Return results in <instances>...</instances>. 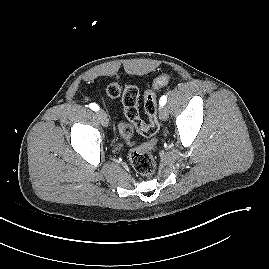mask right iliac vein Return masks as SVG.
Instances as JSON below:
<instances>
[{"instance_id": "right-iliac-vein-1", "label": "right iliac vein", "mask_w": 269, "mask_h": 269, "mask_svg": "<svg viewBox=\"0 0 269 269\" xmlns=\"http://www.w3.org/2000/svg\"><path fill=\"white\" fill-rule=\"evenodd\" d=\"M98 118L101 121L102 125L107 127L109 124V119L108 116L106 114V112H104L103 110L98 112Z\"/></svg>"}]
</instances>
